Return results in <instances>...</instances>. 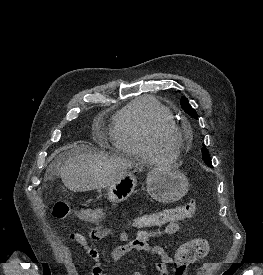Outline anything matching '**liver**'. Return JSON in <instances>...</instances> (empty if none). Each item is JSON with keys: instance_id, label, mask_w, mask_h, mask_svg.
<instances>
[{"instance_id": "6515ba94", "label": "liver", "mask_w": 263, "mask_h": 275, "mask_svg": "<svg viewBox=\"0 0 263 275\" xmlns=\"http://www.w3.org/2000/svg\"><path fill=\"white\" fill-rule=\"evenodd\" d=\"M135 166L137 164L121 157L78 152L67 158L58 168V174L69 190L85 192L108 187Z\"/></svg>"}]
</instances>
